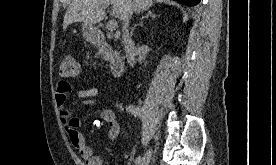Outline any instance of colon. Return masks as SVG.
I'll use <instances>...</instances> for the list:
<instances>
[{
	"label": "colon",
	"mask_w": 276,
	"mask_h": 165,
	"mask_svg": "<svg viewBox=\"0 0 276 165\" xmlns=\"http://www.w3.org/2000/svg\"><path fill=\"white\" fill-rule=\"evenodd\" d=\"M80 65L71 55H65L59 65V75L63 78H73L78 76Z\"/></svg>",
	"instance_id": "5ec220e1"
}]
</instances>
